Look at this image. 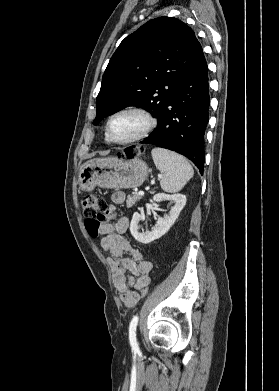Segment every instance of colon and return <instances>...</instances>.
I'll use <instances>...</instances> for the list:
<instances>
[{
  "instance_id": "5ec220e1",
  "label": "colon",
  "mask_w": 279,
  "mask_h": 391,
  "mask_svg": "<svg viewBox=\"0 0 279 391\" xmlns=\"http://www.w3.org/2000/svg\"><path fill=\"white\" fill-rule=\"evenodd\" d=\"M141 148H135L131 151L122 152V158H127L130 155L139 154ZM82 211L85 217L86 228L88 233L92 237L98 236L99 228L108 213L107 203L91 194L85 195L81 200ZM148 293V286L144 287L140 291L141 299L144 298Z\"/></svg>"
}]
</instances>
